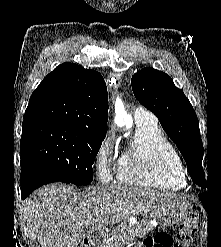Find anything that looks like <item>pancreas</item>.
<instances>
[{"mask_svg": "<svg viewBox=\"0 0 221 247\" xmlns=\"http://www.w3.org/2000/svg\"><path fill=\"white\" fill-rule=\"evenodd\" d=\"M150 229L151 225L147 220L136 224L124 223L116 229V236L105 242L104 247H124L135 237H144Z\"/></svg>", "mask_w": 221, "mask_h": 247, "instance_id": "pancreas-1", "label": "pancreas"}]
</instances>
